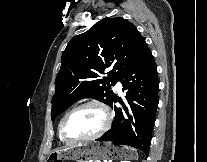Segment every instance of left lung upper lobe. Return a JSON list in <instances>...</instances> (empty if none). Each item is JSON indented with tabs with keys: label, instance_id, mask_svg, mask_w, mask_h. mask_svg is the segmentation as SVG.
Masks as SVG:
<instances>
[{
	"label": "left lung upper lobe",
	"instance_id": "1",
	"mask_svg": "<svg viewBox=\"0 0 207 162\" xmlns=\"http://www.w3.org/2000/svg\"><path fill=\"white\" fill-rule=\"evenodd\" d=\"M149 50L135 25L122 17L106 18L73 37L61 58L52 98V120L77 100L95 98L111 107L117 81ZM108 77L99 79L105 70Z\"/></svg>",
	"mask_w": 207,
	"mask_h": 162
}]
</instances>
